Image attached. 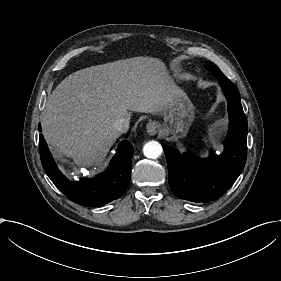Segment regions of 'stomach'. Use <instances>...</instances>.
Masks as SVG:
<instances>
[{
	"instance_id": "0dacf381",
	"label": "stomach",
	"mask_w": 281,
	"mask_h": 281,
	"mask_svg": "<svg viewBox=\"0 0 281 281\" xmlns=\"http://www.w3.org/2000/svg\"><path fill=\"white\" fill-rule=\"evenodd\" d=\"M195 119V107L185 94L176 100L164 114V124L160 125L164 136L184 137ZM179 134V135H178Z\"/></svg>"
}]
</instances>
